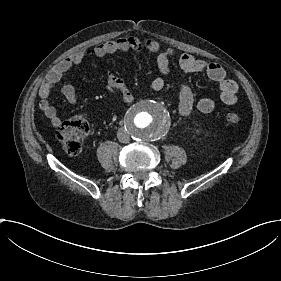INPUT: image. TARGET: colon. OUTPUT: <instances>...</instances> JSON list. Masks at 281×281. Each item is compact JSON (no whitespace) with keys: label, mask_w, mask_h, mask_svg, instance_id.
<instances>
[{"label":"colon","mask_w":281,"mask_h":281,"mask_svg":"<svg viewBox=\"0 0 281 281\" xmlns=\"http://www.w3.org/2000/svg\"><path fill=\"white\" fill-rule=\"evenodd\" d=\"M225 122L236 126L242 121L241 112L238 110H228L225 114ZM89 132L88 124L83 119H74L62 125L58 131L59 139L67 151L77 154L82 149V140Z\"/></svg>","instance_id":"obj_1"}]
</instances>
